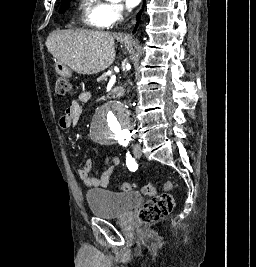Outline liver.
<instances>
[{
  "label": "liver",
  "instance_id": "6515ba94",
  "mask_svg": "<svg viewBox=\"0 0 256 267\" xmlns=\"http://www.w3.org/2000/svg\"><path fill=\"white\" fill-rule=\"evenodd\" d=\"M128 42V36H111L110 32L93 30H54L46 48L58 64L78 74H98L107 70L116 58L115 42Z\"/></svg>",
  "mask_w": 256,
  "mask_h": 267
}]
</instances>
